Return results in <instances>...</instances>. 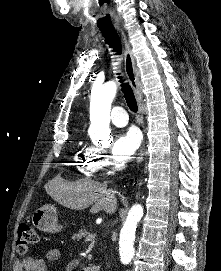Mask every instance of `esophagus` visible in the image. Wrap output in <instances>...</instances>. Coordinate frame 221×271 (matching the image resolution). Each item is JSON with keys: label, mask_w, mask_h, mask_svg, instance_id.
<instances>
[{"label": "esophagus", "mask_w": 221, "mask_h": 271, "mask_svg": "<svg viewBox=\"0 0 221 271\" xmlns=\"http://www.w3.org/2000/svg\"><path fill=\"white\" fill-rule=\"evenodd\" d=\"M121 33V37L124 42V68H125V73L126 76L129 80V82L132 85V88L134 90L135 96L137 98L138 102V109H139V122L141 123L142 126H144V121H143V85L140 81V74L139 71L136 67L134 57L132 55L131 49L129 47V44L126 39V35L123 30L119 29ZM145 154V139L143 141V144L141 146L138 158H137V164L139 165L143 161V157Z\"/></svg>", "instance_id": "obj_1"}]
</instances>
